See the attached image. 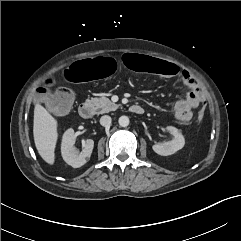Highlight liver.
Here are the masks:
<instances>
[{
	"mask_svg": "<svg viewBox=\"0 0 241 241\" xmlns=\"http://www.w3.org/2000/svg\"><path fill=\"white\" fill-rule=\"evenodd\" d=\"M57 125V120L42 105H35L34 142L39 155L50 165L55 162V147L58 138Z\"/></svg>",
	"mask_w": 241,
	"mask_h": 241,
	"instance_id": "6515ba94",
	"label": "liver"
}]
</instances>
